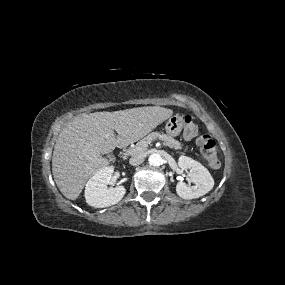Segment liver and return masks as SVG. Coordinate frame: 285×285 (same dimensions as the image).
Returning a JSON list of instances; mask_svg holds the SVG:
<instances>
[{
  "instance_id": "obj_1",
  "label": "liver",
  "mask_w": 285,
  "mask_h": 285,
  "mask_svg": "<svg viewBox=\"0 0 285 285\" xmlns=\"http://www.w3.org/2000/svg\"><path fill=\"white\" fill-rule=\"evenodd\" d=\"M172 114L171 109L147 106L74 117L59 133L53 151L52 173L61 193L76 200L87 180L109 165L101 154L138 141Z\"/></svg>"
}]
</instances>
